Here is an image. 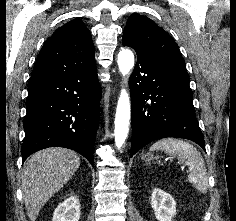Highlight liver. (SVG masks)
Masks as SVG:
<instances>
[{
	"instance_id": "obj_1",
	"label": "liver",
	"mask_w": 236,
	"mask_h": 221,
	"mask_svg": "<svg viewBox=\"0 0 236 221\" xmlns=\"http://www.w3.org/2000/svg\"><path fill=\"white\" fill-rule=\"evenodd\" d=\"M79 166V156L60 147L40 150L27 160L21 186L31 221L36 220L44 204L68 182Z\"/></svg>"
}]
</instances>
